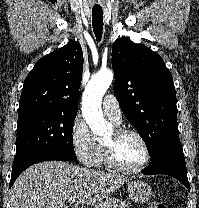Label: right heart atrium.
<instances>
[{"label": "right heart atrium", "mask_w": 199, "mask_h": 208, "mask_svg": "<svg viewBox=\"0 0 199 208\" xmlns=\"http://www.w3.org/2000/svg\"><path fill=\"white\" fill-rule=\"evenodd\" d=\"M70 140L74 153L84 165H96L99 144L94 140L88 125L81 117H76L72 123Z\"/></svg>", "instance_id": "d8ad5b80"}]
</instances>
